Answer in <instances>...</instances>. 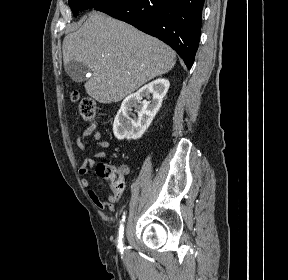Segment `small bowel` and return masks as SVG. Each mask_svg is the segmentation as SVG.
Listing matches in <instances>:
<instances>
[{
    "instance_id": "1",
    "label": "small bowel",
    "mask_w": 288,
    "mask_h": 280,
    "mask_svg": "<svg viewBox=\"0 0 288 280\" xmlns=\"http://www.w3.org/2000/svg\"><path fill=\"white\" fill-rule=\"evenodd\" d=\"M92 135V141L95 142V146L100 150L95 152L91 157L86 158L81 166L79 167V175L82 176V185L87 189V194L92 201V203L99 208L100 210H108L112 211L114 208V202L118 199L119 195H109L108 201H103L97 195L96 191L90 187L89 181L85 178V176L89 172V168L94 167L96 165L95 158H105L107 156L105 149L109 147V142L107 140H103L101 137V133L96 130L86 129L77 136L76 143L78 148L81 151H85L87 145L89 144L88 138ZM123 175L128 173V167H121Z\"/></svg>"
}]
</instances>
